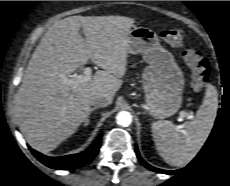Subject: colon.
I'll return each mask as SVG.
<instances>
[{"mask_svg":"<svg viewBox=\"0 0 230 186\" xmlns=\"http://www.w3.org/2000/svg\"><path fill=\"white\" fill-rule=\"evenodd\" d=\"M162 39L171 46L182 49V57L191 70V87L194 92H199L210 74V66L197 50L187 47L184 41V34L178 29H167L161 33Z\"/></svg>","mask_w":230,"mask_h":186,"instance_id":"1","label":"colon"}]
</instances>
